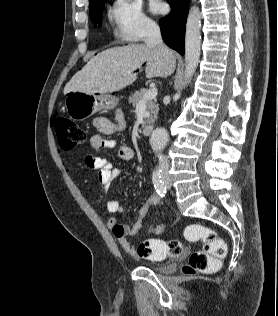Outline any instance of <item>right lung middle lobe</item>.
Instances as JSON below:
<instances>
[{"instance_id":"obj_1","label":"right lung middle lobe","mask_w":278,"mask_h":316,"mask_svg":"<svg viewBox=\"0 0 278 316\" xmlns=\"http://www.w3.org/2000/svg\"><path fill=\"white\" fill-rule=\"evenodd\" d=\"M105 1L100 2L99 4H97L96 6L90 9V16L95 24L97 23L98 25L101 24V20H102L101 13H102Z\"/></svg>"}]
</instances>
